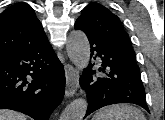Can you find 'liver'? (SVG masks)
<instances>
[{
  "instance_id": "liver-1",
  "label": "liver",
  "mask_w": 165,
  "mask_h": 120,
  "mask_svg": "<svg viewBox=\"0 0 165 120\" xmlns=\"http://www.w3.org/2000/svg\"><path fill=\"white\" fill-rule=\"evenodd\" d=\"M0 120H27V117L12 110H0Z\"/></svg>"
}]
</instances>
